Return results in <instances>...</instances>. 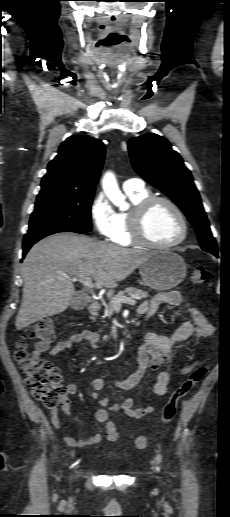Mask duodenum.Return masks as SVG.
Instances as JSON below:
<instances>
[{
  "label": "duodenum",
  "mask_w": 230,
  "mask_h": 517,
  "mask_svg": "<svg viewBox=\"0 0 230 517\" xmlns=\"http://www.w3.org/2000/svg\"><path fill=\"white\" fill-rule=\"evenodd\" d=\"M88 309H89L90 313H92V314H97V313H99V312H100V310H101V304H100L98 301L93 300V301H91V302L89 303V305H88ZM131 337H132V335H131V332H130V331H126V332L124 333V338H125V339L129 340V339H131Z\"/></svg>",
  "instance_id": "obj_1"
}]
</instances>
